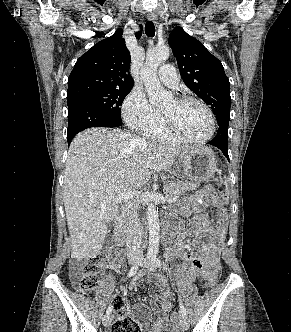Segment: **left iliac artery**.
<instances>
[{
    "label": "left iliac artery",
    "instance_id": "obj_1",
    "mask_svg": "<svg viewBox=\"0 0 291 332\" xmlns=\"http://www.w3.org/2000/svg\"><path fill=\"white\" fill-rule=\"evenodd\" d=\"M152 261L154 262V264L157 267H162L163 266L161 260L156 255H152ZM178 298H179V304H180V312H181L182 315L186 316V309H185V307L182 303V298H181L180 294H178Z\"/></svg>",
    "mask_w": 291,
    "mask_h": 332
}]
</instances>
